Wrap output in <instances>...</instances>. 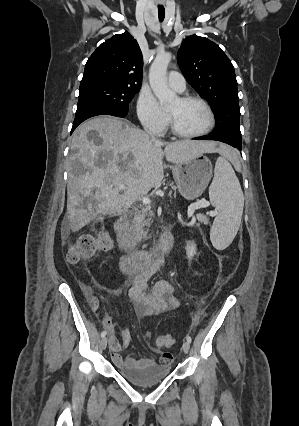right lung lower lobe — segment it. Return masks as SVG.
<instances>
[{"instance_id":"1","label":"right lung lower lobe","mask_w":299,"mask_h":426,"mask_svg":"<svg viewBox=\"0 0 299 426\" xmlns=\"http://www.w3.org/2000/svg\"><path fill=\"white\" fill-rule=\"evenodd\" d=\"M97 115H112L116 117H125L127 114L121 113L114 108L97 103L84 104L77 107L76 116L73 122L71 133L84 120Z\"/></svg>"}]
</instances>
